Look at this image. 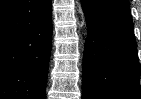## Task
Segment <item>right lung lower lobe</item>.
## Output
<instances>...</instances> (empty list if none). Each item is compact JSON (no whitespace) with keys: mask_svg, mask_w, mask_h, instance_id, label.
Listing matches in <instances>:
<instances>
[{"mask_svg":"<svg viewBox=\"0 0 141 99\" xmlns=\"http://www.w3.org/2000/svg\"><path fill=\"white\" fill-rule=\"evenodd\" d=\"M51 43V0L0 7V99H45Z\"/></svg>","mask_w":141,"mask_h":99,"instance_id":"right-lung-lower-lobe-1","label":"right lung lower lobe"}]
</instances>
